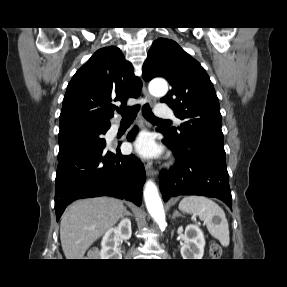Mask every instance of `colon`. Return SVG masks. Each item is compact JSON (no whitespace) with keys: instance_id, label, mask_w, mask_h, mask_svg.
<instances>
[{"instance_id":"1","label":"colon","mask_w":287,"mask_h":287,"mask_svg":"<svg viewBox=\"0 0 287 287\" xmlns=\"http://www.w3.org/2000/svg\"><path fill=\"white\" fill-rule=\"evenodd\" d=\"M209 253L212 258H219L222 255V247L218 243H211Z\"/></svg>"}]
</instances>
